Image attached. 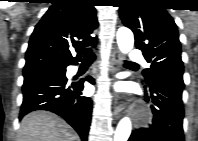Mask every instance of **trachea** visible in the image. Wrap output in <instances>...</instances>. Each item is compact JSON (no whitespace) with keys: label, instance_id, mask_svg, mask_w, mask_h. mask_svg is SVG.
<instances>
[{"label":"trachea","instance_id":"obj_1","mask_svg":"<svg viewBox=\"0 0 198 141\" xmlns=\"http://www.w3.org/2000/svg\"><path fill=\"white\" fill-rule=\"evenodd\" d=\"M83 55H84V59H83L84 63H92L96 58L95 53L90 49L84 50ZM127 62L130 63L129 61Z\"/></svg>","mask_w":198,"mask_h":141}]
</instances>
